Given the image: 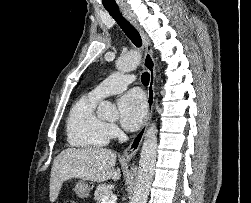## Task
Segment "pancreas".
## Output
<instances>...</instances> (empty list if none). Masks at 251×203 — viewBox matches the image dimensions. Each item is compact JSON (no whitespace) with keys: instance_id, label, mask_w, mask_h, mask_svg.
<instances>
[{"instance_id":"1","label":"pancreas","mask_w":251,"mask_h":203,"mask_svg":"<svg viewBox=\"0 0 251 203\" xmlns=\"http://www.w3.org/2000/svg\"><path fill=\"white\" fill-rule=\"evenodd\" d=\"M107 195H112V191L109 185L100 184L95 190L94 200L96 201V203H102L103 197Z\"/></svg>"}]
</instances>
